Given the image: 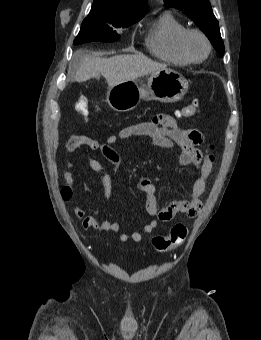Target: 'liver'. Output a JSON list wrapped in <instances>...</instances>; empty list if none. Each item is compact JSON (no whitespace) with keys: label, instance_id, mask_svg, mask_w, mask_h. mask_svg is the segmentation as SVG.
<instances>
[{"label":"liver","instance_id":"liver-1","mask_svg":"<svg viewBox=\"0 0 261 340\" xmlns=\"http://www.w3.org/2000/svg\"><path fill=\"white\" fill-rule=\"evenodd\" d=\"M166 67L165 64L155 62L142 54L117 55L111 58L86 55L82 57L74 79L81 83L102 75L107 80L108 86L113 87L144 75L157 73Z\"/></svg>","mask_w":261,"mask_h":340}]
</instances>
